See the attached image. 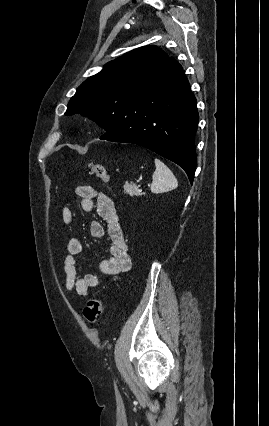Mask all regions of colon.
Instances as JSON below:
<instances>
[{
	"label": "colon",
	"instance_id": "colon-1",
	"mask_svg": "<svg viewBox=\"0 0 269 426\" xmlns=\"http://www.w3.org/2000/svg\"><path fill=\"white\" fill-rule=\"evenodd\" d=\"M88 170L91 174H93L95 177H97L103 182H108L110 179L105 166L100 163H90L88 165ZM102 312V299L100 297L94 296L89 298V300L87 301V304L83 310V315L89 323L95 324L102 315Z\"/></svg>",
	"mask_w": 269,
	"mask_h": 426
}]
</instances>
